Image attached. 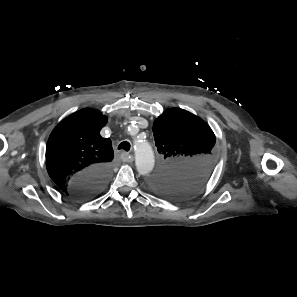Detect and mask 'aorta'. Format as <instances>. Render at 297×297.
I'll list each match as a JSON object with an SVG mask.
<instances>
[{
    "mask_svg": "<svg viewBox=\"0 0 297 297\" xmlns=\"http://www.w3.org/2000/svg\"><path fill=\"white\" fill-rule=\"evenodd\" d=\"M154 154L149 143L135 141V164L138 173L147 176L154 168Z\"/></svg>",
    "mask_w": 297,
    "mask_h": 297,
    "instance_id": "obj_1",
    "label": "aorta"
}]
</instances>
